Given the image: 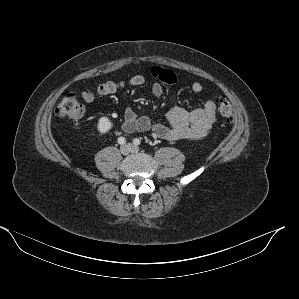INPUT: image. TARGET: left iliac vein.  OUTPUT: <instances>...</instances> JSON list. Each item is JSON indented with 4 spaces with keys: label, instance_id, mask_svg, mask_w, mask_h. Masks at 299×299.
<instances>
[{
    "label": "left iliac vein",
    "instance_id": "obj_1",
    "mask_svg": "<svg viewBox=\"0 0 299 299\" xmlns=\"http://www.w3.org/2000/svg\"><path fill=\"white\" fill-rule=\"evenodd\" d=\"M128 146L131 148V152H138L139 148L137 146H133L132 144H128Z\"/></svg>",
    "mask_w": 299,
    "mask_h": 299
}]
</instances>
